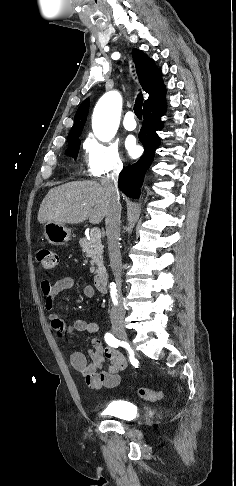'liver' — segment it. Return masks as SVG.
Masks as SVG:
<instances>
[{
    "mask_svg": "<svg viewBox=\"0 0 236 486\" xmlns=\"http://www.w3.org/2000/svg\"><path fill=\"white\" fill-rule=\"evenodd\" d=\"M108 194L96 181L69 182L49 190L43 199L38 221L79 224L87 219L99 224L108 210Z\"/></svg>",
    "mask_w": 236,
    "mask_h": 486,
    "instance_id": "obj_1",
    "label": "liver"
}]
</instances>
